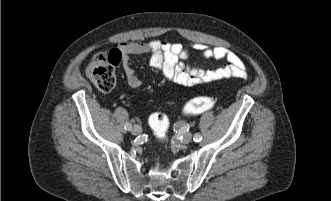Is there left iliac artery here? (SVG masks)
<instances>
[{"mask_svg":"<svg viewBox=\"0 0 331 201\" xmlns=\"http://www.w3.org/2000/svg\"><path fill=\"white\" fill-rule=\"evenodd\" d=\"M185 128H187V127L185 126ZM193 140H194L195 142H199V141L202 140V137H201V135H200L199 133H196V134L194 135V137H193Z\"/></svg>","mask_w":331,"mask_h":201,"instance_id":"44dca946","label":"left iliac artery"}]
</instances>
